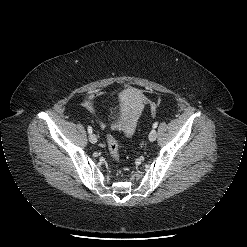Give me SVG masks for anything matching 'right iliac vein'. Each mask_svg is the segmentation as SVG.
Listing matches in <instances>:
<instances>
[{"instance_id": "right-iliac-vein-1", "label": "right iliac vein", "mask_w": 247, "mask_h": 247, "mask_svg": "<svg viewBox=\"0 0 247 247\" xmlns=\"http://www.w3.org/2000/svg\"><path fill=\"white\" fill-rule=\"evenodd\" d=\"M89 140H90L91 143L95 144L97 142L96 135L91 133L90 136H89Z\"/></svg>"}]
</instances>
